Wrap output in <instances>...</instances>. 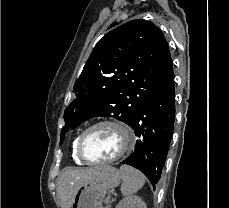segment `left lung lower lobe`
I'll return each instance as SVG.
<instances>
[{"label": "left lung lower lobe", "mask_w": 229, "mask_h": 208, "mask_svg": "<svg viewBox=\"0 0 229 208\" xmlns=\"http://www.w3.org/2000/svg\"><path fill=\"white\" fill-rule=\"evenodd\" d=\"M175 120L174 81L151 96L129 126L139 138L134 152L122 164L142 171L154 186L161 178Z\"/></svg>", "instance_id": "0a47b994"}]
</instances>
